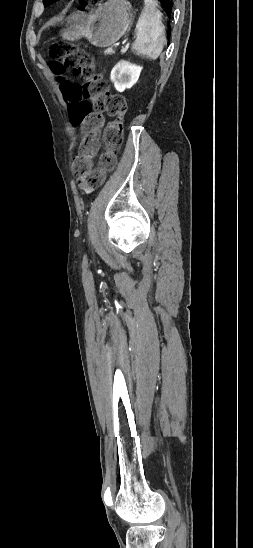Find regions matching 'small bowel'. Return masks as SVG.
<instances>
[{"label": "small bowel", "mask_w": 253, "mask_h": 548, "mask_svg": "<svg viewBox=\"0 0 253 548\" xmlns=\"http://www.w3.org/2000/svg\"><path fill=\"white\" fill-rule=\"evenodd\" d=\"M61 90H62V87H61ZM78 187L85 193H90L93 190V188L85 182L83 177H80L78 179Z\"/></svg>", "instance_id": "1"}]
</instances>
